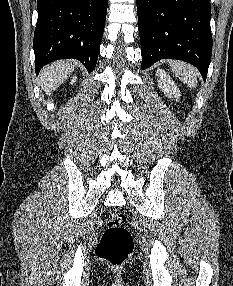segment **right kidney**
I'll use <instances>...</instances> for the list:
<instances>
[{"mask_svg": "<svg viewBox=\"0 0 233 286\" xmlns=\"http://www.w3.org/2000/svg\"><path fill=\"white\" fill-rule=\"evenodd\" d=\"M76 76L71 80V84H73L76 81Z\"/></svg>", "mask_w": 233, "mask_h": 286, "instance_id": "ca27d5eb", "label": "right kidney"}]
</instances>
